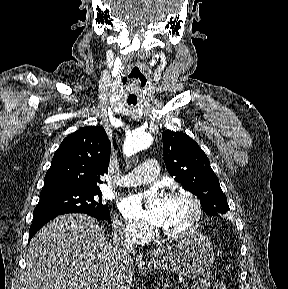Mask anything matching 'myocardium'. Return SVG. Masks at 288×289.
Returning <instances> with one entry per match:
<instances>
[{"label":"myocardium","instance_id":"myocardium-1","mask_svg":"<svg viewBox=\"0 0 288 289\" xmlns=\"http://www.w3.org/2000/svg\"><path fill=\"white\" fill-rule=\"evenodd\" d=\"M174 198H184L188 200L193 208V218L188 227L179 231H167L161 229L160 233L169 238V239H183L194 235L200 227L202 217H203V208L199 198L192 193L191 191L178 189L168 192L165 196V199H174Z\"/></svg>","mask_w":288,"mask_h":289}]
</instances>
